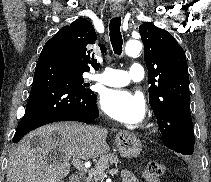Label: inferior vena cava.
<instances>
[{
  "label": "inferior vena cava",
  "mask_w": 211,
  "mask_h": 182,
  "mask_svg": "<svg viewBox=\"0 0 211 182\" xmlns=\"http://www.w3.org/2000/svg\"><path fill=\"white\" fill-rule=\"evenodd\" d=\"M95 134H102V126H97V129H95Z\"/></svg>",
  "instance_id": "602c4592"
}]
</instances>
